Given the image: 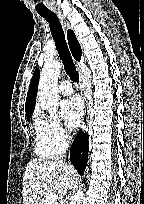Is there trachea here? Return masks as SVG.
I'll list each match as a JSON object with an SVG mask.
<instances>
[{
  "mask_svg": "<svg viewBox=\"0 0 144 204\" xmlns=\"http://www.w3.org/2000/svg\"><path fill=\"white\" fill-rule=\"evenodd\" d=\"M40 15L49 23L50 31L55 41L56 49L58 51L60 59L63 62L66 73L69 75L72 81L78 82L79 75L66 44L65 35L58 17L53 12L41 13Z\"/></svg>",
  "mask_w": 144,
  "mask_h": 204,
  "instance_id": "1",
  "label": "trachea"
}]
</instances>
